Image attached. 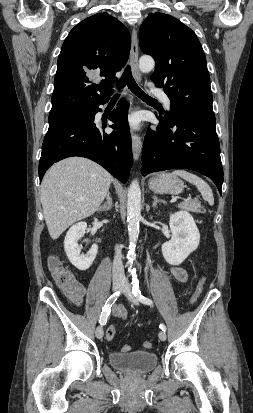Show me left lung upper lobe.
Wrapping results in <instances>:
<instances>
[{
    "label": "left lung upper lobe",
    "mask_w": 253,
    "mask_h": 413,
    "mask_svg": "<svg viewBox=\"0 0 253 413\" xmlns=\"http://www.w3.org/2000/svg\"><path fill=\"white\" fill-rule=\"evenodd\" d=\"M139 44L156 61L152 81L170 99L166 119L193 116L215 123L206 57L196 34L170 15L152 13L140 27Z\"/></svg>",
    "instance_id": "left-lung-upper-lobe-1"
}]
</instances>
